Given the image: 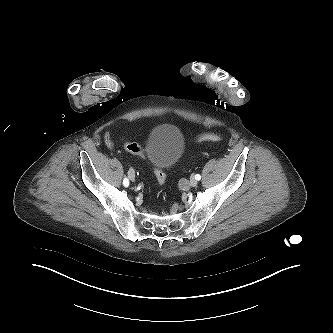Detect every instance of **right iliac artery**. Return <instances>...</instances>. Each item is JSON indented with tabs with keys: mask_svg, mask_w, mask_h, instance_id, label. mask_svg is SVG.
<instances>
[{
	"mask_svg": "<svg viewBox=\"0 0 333 333\" xmlns=\"http://www.w3.org/2000/svg\"><path fill=\"white\" fill-rule=\"evenodd\" d=\"M123 185H124L125 187H128V186H129V180H128V178H124V180H123Z\"/></svg>",
	"mask_w": 333,
	"mask_h": 333,
	"instance_id": "82829eb1",
	"label": "right iliac artery"
}]
</instances>
